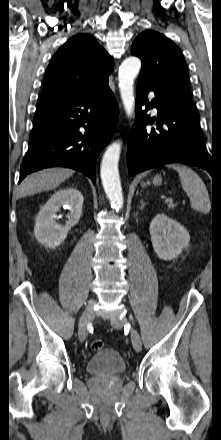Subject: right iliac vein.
<instances>
[{
    "mask_svg": "<svg viewBox=\"0 0 221 440\" xmlns=\"http://www.w3.org/2000/svg\"><path fill=\"white\" fill-rule=\"evenodd\" d=\"M94 315V310L92 306H89L82 314L80 322H79V340L82 342L87 337V328L89 323L91 322Z\"/></svg>",
    "mask_w": 221,
    "mask_h": 440,
    "instance_id": "1",
    "label": "right iliac vein"
}]
</instances>
